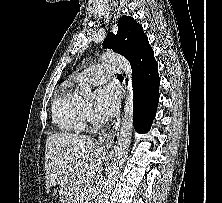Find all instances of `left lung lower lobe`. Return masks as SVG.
Returning a JSON list of instances; mask_svg holds the SVG:
<instances>
[{
    "instance_id": "0a47b994",
    "label": "left lung lower lobe",
    "mask_w": 222,
    "mask_h": 203,
    "mask_svg": "<svg viewBox=\"0 0 222 203\" xmlns=\"http://www.w3.org/2000/svg\"><path fill=\"white\" fill-rule=\"evenodd\" d=\"M133 124L138 133H146L151 127L159 101L160 78L158 64L148 39L131 63Z\"/></svg>"
}]
</instances>
